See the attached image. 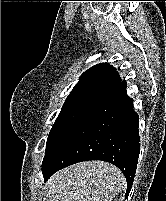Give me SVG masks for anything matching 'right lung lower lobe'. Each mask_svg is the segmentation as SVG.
Here are the masks:
<instances>
[{"mask_svg": "<svg viewBox=\"0 0 166 201\" xmlns=\"http://www.w3.org/2000/svg\"><path fill=\"white\" fill-rule=\"evenodd\" d=\"M122 81L102 104L58 148L42 168L46 181L59 169L87 160H103L117 166L127 180L125 197L131 190L140 152L138 114Z\"/></svg>", "mask_w": 166, "mask_h": 201, "instance_id": "1", "label": "right lung lower lobe"}]
</instances>
